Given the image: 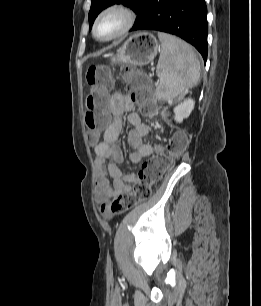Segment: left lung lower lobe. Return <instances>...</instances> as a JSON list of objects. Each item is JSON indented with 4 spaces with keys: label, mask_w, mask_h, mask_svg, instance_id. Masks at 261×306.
<instances>
[{
    "label": "left lung lower lobe",
    "mask_w": 261,
    "mask_h": 306,
    "mask_svg": "<svg viewBox=\"0 0 261 306\" xmlns=\"http://www.w3.org/2000/svg\"><path fill=\"white\" fill-rule=\"evenodd\" d=\"M207 8L204 0H146L131 31L149 29L177 35L207 60Z\"/></svg>",
    "instance_id": "obj_1"
}]
</instances>
